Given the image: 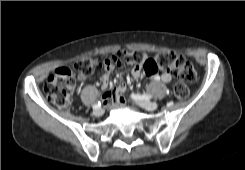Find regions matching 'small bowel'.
I'll use <instances>...</instances> for the list:
<instances>
[{
    "label": "small bowel",
    "instance_id": "1",
    "mask_svg": "<svg viewBox=\"0 0 245 170\" xmlns=\"http://www.w3.org/2000/svg\"><path fill=\"white\" fill-rule=\"evenodd\" d=\"M162 76H163V79H164L165 81H167V80L169 79V74H168L167 72H164V73L162 74ZM122 96H123V92H119L118 95H117V97H122Z\"/></svg>",
    "mask_w": 245,
    "mask_h": 170
}]
</instances>
